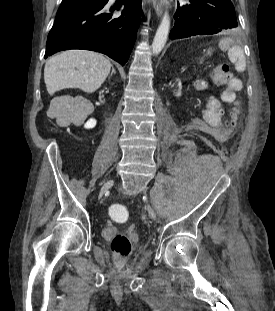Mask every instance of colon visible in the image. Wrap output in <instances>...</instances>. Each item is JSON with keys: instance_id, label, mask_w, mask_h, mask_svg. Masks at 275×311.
Listing matches in <instances>:
<instances>
[{"instance_id": "1", "label": "colon", "mask_w": 275, "mask_h": 311, "mask_svg": "<svg viewBox=\"0 0 275 311\" xmlns=\"http://www.w3.org/2000/svg\"><path fill=\"white\" fill-rule=\"evenodd\" d=\"M238 62H235L238 68L242 69L244 66L243 57H238ZM240 81L233 80L229 82L222 92V100L224 102H233L235 100L236 92L240 89ZM49 115L51 118L57 120L61 124H68L75 120V116L64 107L63 104H54L49 108ZM78 123L82 120L78 119ZM110 215L115 219L125 220L128 218V211L121 205H111L109 208ZM112 252L119 258H126L131 250L132 244L129 238L122 234H116L110 244Z\"/></svg>"}]
</instances>
